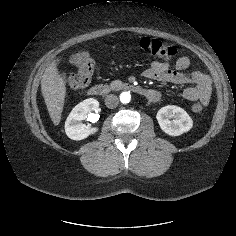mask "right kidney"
Wrapping results in <instances>:
<instances>
[{
    "label": "right kidney",
    "instance_id": "obj_1",
    "mask_svg": "<svg viewBox=\"0 0 236 236\" xmlns=\"http://www.w3.org/2000/svg\"><path fill=\"white\" fill-rule=\"evenodd\" d=\"M99 109V102L94 98L85 99L77 104L65 122L66 135L72 140H83L91 134H95L98 131L97 127H91V125L84 124L85 120L95 122L98 120L97 114H92V111Z\"/></svg>",
    "mask_w": 236,
    "mask_h": 236
}]
</instances>
